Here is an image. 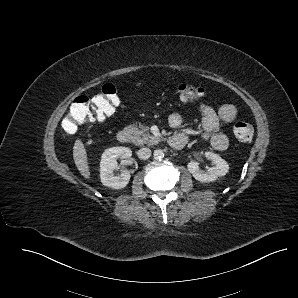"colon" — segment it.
I'll use <instances>...</instances> for the list:
<instances>
[{"label":"colon","instance_id":"5ec220e1","mask_svg":"<svg viewBox=\"0 0 298 298\" xmlns=\"http://www.w3.org/2000/svg\"><path fill=\"white\" fill-rule=\"evenodd\" d=\"M177 91L180 99L186 102L197 101L205 95L202 87L187 83L180 84ZM118 104L119 98L113 84H105L94 96H78L63 119V130L68 134H73L85 123L102 121L114 113ZM253 133V127L248 122L238 121L234 125V134L241 142L251 141Z\"/></svg>","mask_w":298,"mask_h":298}]
</instances>
